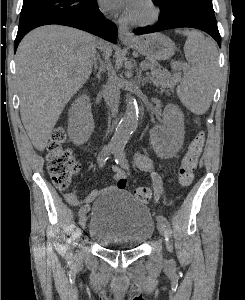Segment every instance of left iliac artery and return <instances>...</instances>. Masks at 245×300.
I'll return each instance as SVG.
<instances>
[{"mask_svg": "<svg viewBox=\"0 0 245 300\" xmlns=\"http://www.w3.org/2000/svg\"><path fill=\"white\" fill-rule=\"evenodd\" d=\"M114 156H115V162L117 164H119L120 166L124 167V168H128V161L125 157V153H124V148L122 146H119L115 149L114 151ZM152 180L154 182V190H155V200L156 201H160L162 199V181L160 179V177H158L157 175H153L152 176ZM157 219L165 224L168 223L167 219L163 216V215H158Z\"/></svg>", "mask_w": 245, "mask_h": 300, "instance_id": "1", "label": "left iliac artery"}]
</instances>
